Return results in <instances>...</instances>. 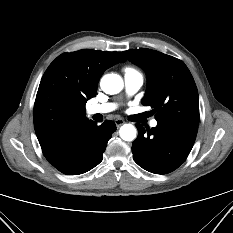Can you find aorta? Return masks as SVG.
Listing matches in <instances>:
<instances>
[{"label": "aorta", "mask_w": 233, "mask_h": 233, "mask_svg": "<svg viewBox=\"0 0 233 233\" xmlns=\"http://www.w3.org/2000/svg\"><path fill=\"white\" fill-rule=\"evenodd\" d=\"M100 86L107 94H117L124 86L122 78L117 74H106L102 77ZM136 128L132 124H124L119 130L120 137L125 141H133L136 138Z\"/></svg>", "instance_id": "obj_1"}]
</instances>
